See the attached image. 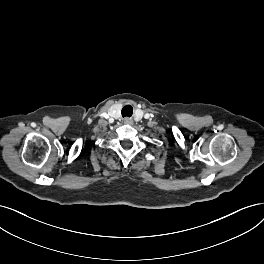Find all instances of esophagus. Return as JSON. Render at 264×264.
<instances>
[{"instance_id": "34e87169", "label": "esophagus", "mask_w": 264, "mask_h": 264, "mask_svg": "<svg viewBox=\"0 0 264 264\" xmlns=\"http://www.w3.org/2000/svg\"><path fill=\"white\" fill-rule=\"evenodd\" d=\"M124 123L125 124H132V120L130 118H125Z\"/></svg>"}]
</instances>
